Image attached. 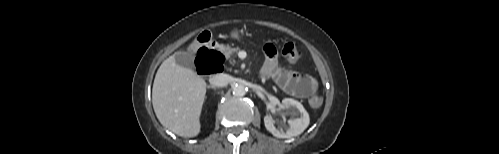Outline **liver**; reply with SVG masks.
Segmentation results:
<instances>
[{
  "label": "liver",
  "mask_w": 499,
  "mask_h": 154,
  "mask_svg": "<svg viewBox=\"0 0 499 154\" xmlns=\"http://www.w3.org/2000/svg\"><path fill=\"white\" fill-rule=\"evenodd\" d=\"M206 82L190 68L178 65L175 55L159 67L152 88V104L159 122L181 137L200 132Z\"/></svg>",
  "instance_id": "6515ba94"
}]
</instances>
